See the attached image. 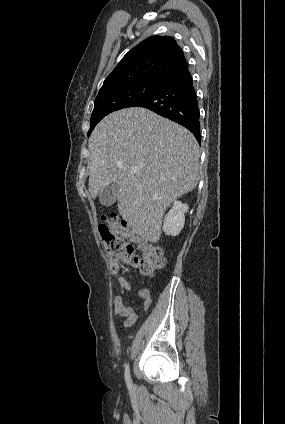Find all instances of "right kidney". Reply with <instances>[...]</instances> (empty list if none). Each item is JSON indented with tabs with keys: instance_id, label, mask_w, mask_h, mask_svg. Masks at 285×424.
<instances>
[{
	"instance_id": "ca27d5eb",
	"label": "right kidney",
	"mask_w": 285,
	"mask_h": 424,
	"mask_svg": "<svg viewBox=\"0 0 285 424\" xmlns=\"http://www.w3.org/2000/svg\"><path fill=\"white\" fill-rule=\"evenodd\" d=\"M189 206L180 201H174L170 211L165 215L163 231L166 235L176 236L184 227L185 213Z\"/></svg>"
}]
</instances>
